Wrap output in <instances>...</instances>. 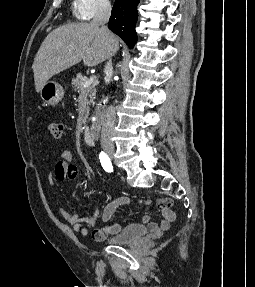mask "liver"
I'll return each mask as SVG.
<instances>
[{
  "label": "liver",
  "mask_w": 255,
  "mask_h": 287,
  "mask_svg": "<svg viewBox=\"0 0 255 287\" xmlns=\"http://www.w3.org/2000/svg\"><path fill=\"white\" fill-rule=\"evenodd\" d=\"M119 50V42L110 34L106 38L98 24L85 22H70L56 28L42 42L33 62L34 82L36 92L42 86L64 70L79 64L98 66L104 60H110Z\"/></svg>",
  "instance_id": "1"
}]
</instances>
